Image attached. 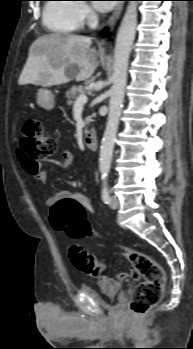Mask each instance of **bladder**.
Here are the masks:
<instances>
[{"mask_svg":"<svg viewBox=\"0 0 193 349\" xmlns=\"http://www.w3.org/2000/svg\"><path fill=\"white\" fill-rule=\"evenodd\" d=\"M84 291L86 294H88L97 304L104 306L106 308L111 307V305L108 303V299L105 298L98 290L93 288H84ZM122 297V293H119L115 295L112 299L113 302H117Z\"/></svg>","mask_w":193,"mask_h":349,"instance_id":"1","label":"bladder"}]
</instances>
